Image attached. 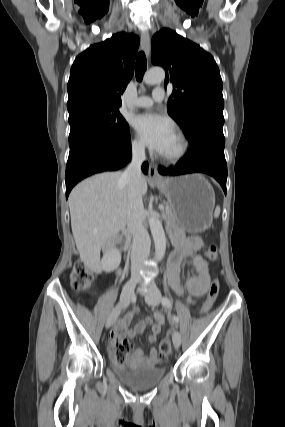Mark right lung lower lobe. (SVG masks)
Here are the masks:
<instances>
[{
  "label": "right lung lower lobe",
  "mask_w": 285,
  "mask_h": 427,
  "mask_svg": "<svg viewBox=\"0 0 285 427\" xmlns=\"http://www.w3.org/2000/svg\"><path fill=\"white\" fill-rule=\"evenodd\" d=\"M130 159V134L123 140H113L97 133L81 136L70 145L65 176L66 198L80 180L95 173L119 170ZM142 170L145 174L148 172L146 162Z\"/></svg>",
  "instance_id": "right-lung-lower-lobe-1"
}]
</instances>
